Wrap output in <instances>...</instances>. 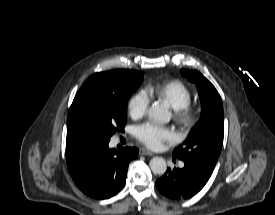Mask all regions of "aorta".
<instances>
[{
    "mask_svg": "<svg viewBox=\"0 0 275 215\" xmlns=\"http://www.w3.org/2000/svg\"><path fill=\"white\" fill-rule=\"evenodd\" d=\"M149 118L155 122L167 123L171 119L168 109L160 104L152 105L148 110ZM150 169L154 174L162 175L167 170L166 161L161 157H154L150 161Z\"/></svg>",
    "mask_w": 275,
    "mask_h": 215,
    "instance_id": "762f6f07",
    "label": "aorta"
}]
</instances>
